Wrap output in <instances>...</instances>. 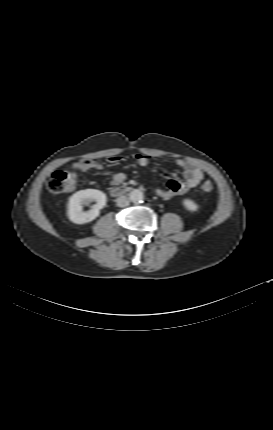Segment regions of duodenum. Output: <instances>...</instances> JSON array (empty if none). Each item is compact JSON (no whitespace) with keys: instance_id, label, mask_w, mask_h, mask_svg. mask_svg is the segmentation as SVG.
Instances as JSON below:
<instances>
[{"instance_id":"1","label":"duodenum","mask_w":273,"mask_h":430,"mask_svg":"<svg viewBox=\"0 0 273 430\" xmlns=\"http://www.w3.org/2000/svg\"><path fill=\"white\" fill-rule=\"evenodd\" d=\"M131 190H132V188L129 186L121 185V186L113 188L111 190V194L113 196H121V195L129 193Z\"/></svg>"}]
</instances>
